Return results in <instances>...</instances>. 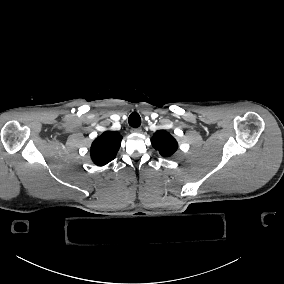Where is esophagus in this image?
<instances>
[{
	"mask_svg": "<svg viewBox=\"0 0 284 284\" xmlns=\"http://www.w3.org/2000/svg\"><path fill=\"white\" fill-rule=\"evenodd\" d=\"M130 131L133 134H139V133H141V128L140 127H138V128H131Z\"/></svg>",
	"mask_w": 284,
	"mask_h": 284,
	"instance_id": "1",
	"label": "esophagus"
}]
</instances>
